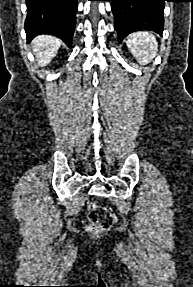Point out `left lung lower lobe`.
Returning a JSON list of instances; mask_svg holds the SVG:
<instances>
[{
	"label": "left lung lower lobe",
	"mask_w": 193,
	"mask_h": 287,
	"mask_svg": "<svg viewBox=\"0 0 193 287\" xmlns=\"http://www.w3.org/2000/svg\"><path fill=\"white\" fill-rule=\"evenodd\" d=\"M115 18V29L121 42L128 34L139 30L163 32V10L168 0H108Z\"/></svg>",
	"instance_id": "1"
}]
</instances>
